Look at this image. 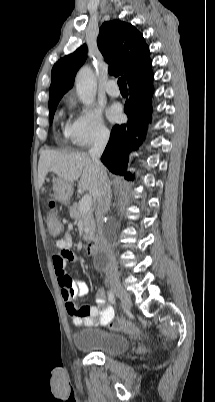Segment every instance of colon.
<instances>
[{"label": "colon", "instance_id": "obj_1", "mask_svg": "<svg viewBox=\"0 0 215 402\" xmlns=\"http://www.w3.org/2000/svg\"><path fill=\"white\" fill-rule=\"evenodd\" d=\"M46 221L49 231L52 234L57 235L60 232V225L55 212V203L53 201H50L48 203ZM110 327L114 330L123 331L130 335H137L139 333V329L137 326L124 319L118 318L112 320V322L110 323Z\"/></svg>", "mask_w": 215, "mask_h": 402}]
</instances>
